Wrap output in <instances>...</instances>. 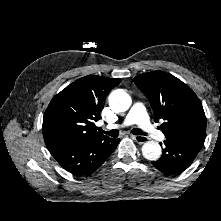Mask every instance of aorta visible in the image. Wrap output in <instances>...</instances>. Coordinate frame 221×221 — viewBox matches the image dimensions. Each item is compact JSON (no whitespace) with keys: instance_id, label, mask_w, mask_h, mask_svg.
<instances>
[{"instance_id":"aorta-1","label":"aorta","mask_w":221,"mask_h":221,"mask_svg":"<svg viewBox=\"0 0 221 221\" xmlns=\"http://www.w3.org/2000/svg\"><path fill=\"white\" fill-rule=\"evenodd\" d=\"M132 99L123 89H117L109 95V105L116 112H124L131 106ZM161 147L156 141H147L142 146L143 156L150 161H156L161 156Z\"/></svg>"}]
</instances>
